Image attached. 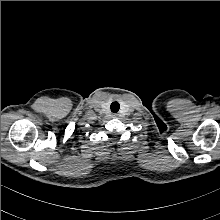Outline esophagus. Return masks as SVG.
I'll return each instance as SVG.
<instances>
[{
    "mask_svg": "<svg viewBox=\"0 0 220 220\" xmlns=\"http://www.w3.org/2000/svg\"><path fill=\"white\" fill-rule=\"evenodd\" d=\"M112 117H113V118H117V117H118V114H117V113H114V114H112Z\"/></svg>",
    "mask_w": 220,
    "mask_h": 220,
    "instance_id": "esophagus-1",
    "label": "esophagus"
}]
</instances>
